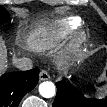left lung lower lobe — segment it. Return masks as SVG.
<instances>
[{
	"label": "left lung lower lobe",
	"instance_id": "1",
	"mask_svg": "<svg viewBox=\"0 0 107 107\" xmlns=\"http://www.w3.org/2000/svg\"><path fill=\"white\" fill-rule=\"evenodd\" d=\"M57 94L53 107H107L106 99L86 98L77 91L69 81L62 80L56 83Z\"/></svg>",
	"mask_w": 107,
	"mask_h": 107
}]
</instances>
